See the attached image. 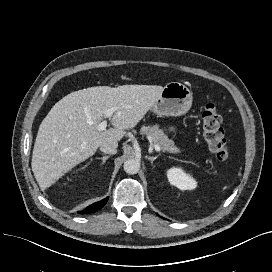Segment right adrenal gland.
<instances>
[{"label":"right adrenal gland","mask_w":272,"mask_h":272,"mask_svg":"<svg viewBox=\"0 0 272 272\" xmlns=\"http://www.w3.org/2000/svg\"><path fill=\"white\" fill-rule=\"evenodd\" d=\"M109 157L110 156H103V157H97L96 159H101L102 160L101 164H104Z\"/></svg>","instance_id":"2a0ac1e0"}]
</instances>
